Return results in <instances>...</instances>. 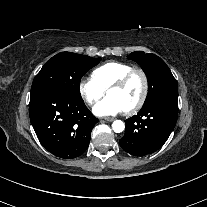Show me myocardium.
Segmentation results:
<instances>
[{
    "label": "myocardium",
    "instance_id": "obj_1",
    "mask_svg": "<svg viewBox=\"0 0 207 207\" xmlns=\"http://www.w3.org/2000/svg\"><path fill=\"white\" fill-rule=\"evenodd\" d=\"M135 75H139L142 78L143 91L138 101L132 107L125 110L126 115H132L136 113L144 105L149 93V80L147 74L141 68H133L130 71H128L126 74H124L122 77H120L118 80H116L114 83H112L108 88V91L111 89L123 88L130 81V79Z\"/></svg>",
    "mask_w": 207,
    "mask_h": 207
}]
</instances>
